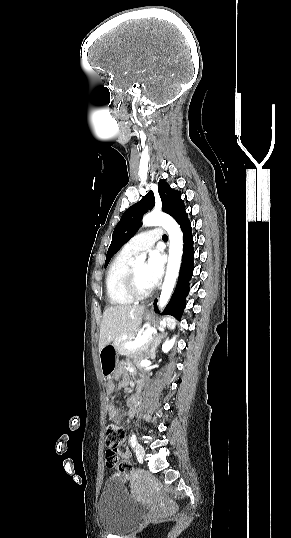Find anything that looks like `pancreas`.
Masks as SVG:
<instances>
[{"instance_id": "pancreas-1", "label": "pancreas", "mask_w": 291, "mask_h": 538, "mask_svg": "<svg viewBox=\"0 0 291 538\" xmlns=\"http://www.w3.org/2000/svg\"><path fill=\"white\" fill-rule=\"evenodd\" d=\"M135 338V334L134 333H130V334H127V339H124L122 336H120L115 342H114V346L116 348V350L118 351V353L120 355H130L136 351H139V350H143L147 344H144L143 346L141 347H138V348H133V349H126L125 348V344L131 340V339H134ZM153 337L150 336L148 338V343L153 341Z\"/></svg>"}]
</instances>
